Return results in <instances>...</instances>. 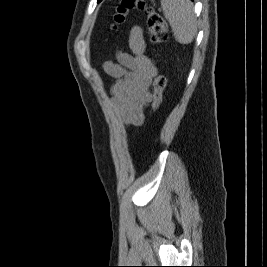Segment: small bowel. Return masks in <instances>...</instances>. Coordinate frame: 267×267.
<instances>
[{
    "mask_svg": "<svg viewBox=\"0 0 267 267\" xmlns=\"http://www.w3.org/2000/svg\"><path fill=\"white\" fill-rule=\"evenodd\" d=\"M128 53L119 52L117 62L104 63V71L114 82L111 86L112 102L119 117L127 125L140 126L145 109L151 103L149 86L157 73L152 58L145 54L146 43L139 26L131 29Z\"/></svg>",
    "mask_w": 267,
    "mask_h": 267,
    "instance_id": "obj_1",
    "label": "small bowel"
}]
</instances>
